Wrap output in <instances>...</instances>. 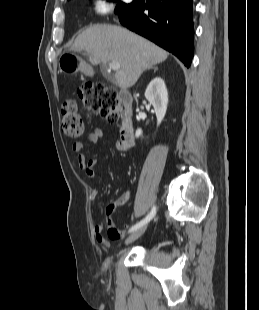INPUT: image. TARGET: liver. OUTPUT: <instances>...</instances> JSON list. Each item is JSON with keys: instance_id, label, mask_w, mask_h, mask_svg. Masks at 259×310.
<instances>
[{"instance_id": "liver-1", "label": "liver", "mask_w": 259, "mask_h": 310, "mask_svg": "<svg viewBox=\"0 0 259 310\" xmlns=\"http://www.w3.org/2000/svg\"><path fill=\"white\" fill-rule=\"evenodd\" d=\"M82 50L94 66L109 61L119 62L115 80L121 89L132 87L144 70L168 57V53L154 43L113 25H95L80 33L70 51Z\"/></svg>"}]
</instances>
